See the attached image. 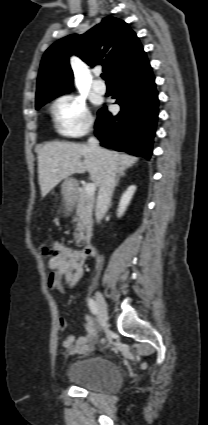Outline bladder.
Segmentation results:
<instances>
[{
    "instance_id": "bladder-1",
    "label": "bladder",
    "mask_w": 208,
    "mask_h": 425,
    "mask_svg": "<svg viewBox=\"0 0 208 425\" xmlns=\"http://www.w3.org/2000/svg\"><path fill=\"white\" fill-rule=\"evenodd\" d=\"M66 378L83 389L110 393L121 386L122 376L111 360L102 356H89L69 364Z\"/></svg>"
}]
</instances>
